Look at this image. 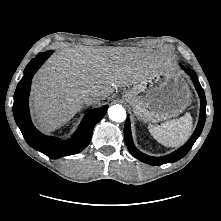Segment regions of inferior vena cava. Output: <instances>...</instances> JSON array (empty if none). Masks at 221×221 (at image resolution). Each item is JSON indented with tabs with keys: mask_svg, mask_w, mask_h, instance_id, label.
Here are the masks:
<instances>
[{
	"mask_svg": "<svg viewBox=\"0 0 221 221\" xmlns=\"http://www.w3.org/2000/svg\"><path fill=\"white\" fill-rule=\"evenodd\" d=\"M82 98L86 105H91L98 102L99 94L97 91L89 90L83 93Z\"/></svg>",
	"mask_w": 221,
	"mask_h": 221,
	"instance_id": "602c4592",
	"label": "inferior vena cava"
}]
</instances>
